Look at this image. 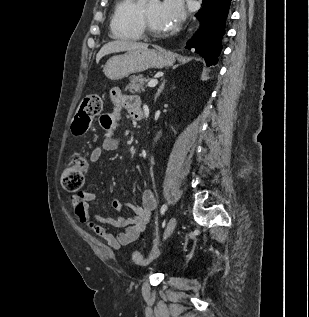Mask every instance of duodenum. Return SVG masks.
Instances as JSON below:
<instances>
[{
  "mask_svg": "<svg viewBox=\"0 0 309 317\" xmlns=\"http://www.w3.org/2000/svg\"><path fill=\"white\" fill-rule=\"evenodd\" d=\"M140 118H143V114L140 116Z\"/></svg>",
  "mask_w": 309,
  "mask_h": 317,
  "instance_id": "obj_1",
  "label": "duodenum"
}]
</instances>
